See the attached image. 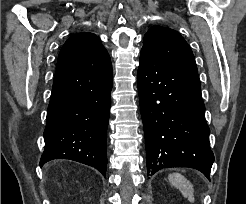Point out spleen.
<instances>
[{
    "label": "spleen",
    "mask_w": 246,
    "mask_h": 204,
    "mask_svg": "<svg viewBox=\"0 0 246 204\" xmlns=\"http://www.w3.org/2000/svg\"><path fill=\"white\" fill-rule=\"evenodd\" d=\"M170 183L179 189L184 197L190 202H194L193 184L180 173H171L168 176Z\"/></svg>",
    "instance_id": "3e777b00"
}]
</instances>
